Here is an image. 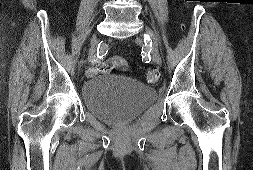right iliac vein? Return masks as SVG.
Returning <instances> with one entry per match:
<instances>
[{"instance_id": "right-iliac-vein-1", "label": "right iliac vein", "mask_w": 253, "mask_h": 170, "mask_svg": "<svg viewBox=\"0 0 253 170\" xmlns=\"http://www.w3.org/2000/svg\"><path fill=\"white\" fill-rule=\"evenodd\" d=\"M97 43H98V39H97L96 35H93V37L91 39V48L89 50L88 61L93 60V58L95 56V52H96Z\"/></svg>"}]
</instances>
